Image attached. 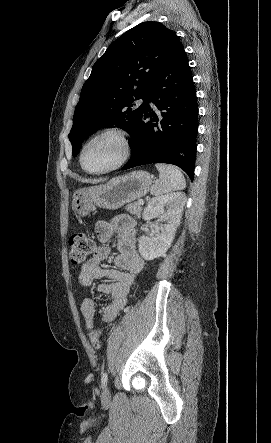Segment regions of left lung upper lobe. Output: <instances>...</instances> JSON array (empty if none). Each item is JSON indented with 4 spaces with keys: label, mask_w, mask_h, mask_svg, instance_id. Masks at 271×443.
Instances as JSON below:
<instances>
[{
    "label": "left lung upper lobe",
    "mask_w": 271,
    "mask_h": 443,
    "mask_svg": "<svg viewBox=\"0 0 271 443\" xmlns=\"http://www.w3.org/2000/svg\"><path fill=\"white\" fill-rule=\"evenodd\" d=\"M181 43L159 22H144L115 40L92 67L75 108L68 135L73 156L82 142L105 125H121L131 136L142 119L151 80ZM130 142V139H129Z\"/></svg>",
    "instance_id": "left-lung-upper-lobe-1"
}]
</instances>
